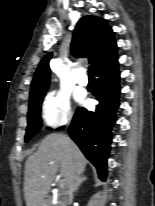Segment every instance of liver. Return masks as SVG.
<instances>
[{
  "label": "liver",
  "instance_id": "6515ba94",
  "mask_svg": "<svg viewBox=\"0 0 155 206\" xmlns=\"http://www.w3.org/2000/svg\"><path fill=\"white\" fill-rule=\"evenodd\" d=\"M87 160L77 145L67 136L48 135L25 165L24 195L27 206H39L50 191L59 172L68 187L72 168L76 173L85 170Z\"/></svg>",
  "mask_w": 155,
  "mask_h": 206
}]
</instances>
